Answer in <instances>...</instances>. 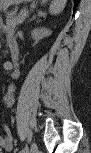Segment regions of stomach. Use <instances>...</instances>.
Here are the masks:
<instances>
[{
  "instance_id": "0dacf381",
  "label": "stomach",
  "mask_w": 91,
  "mask_h": 153,
  "mask_svg": "<svg viewBox=\"0 0 91 153\" xmlns=\"http://www.w3.org/2000/svg\"><path fill=\"white\" fill-rule=\"evenodd\" d=\"M11 2L10 0H0V9H5Z\"/></svg>"
}]
</instances>
